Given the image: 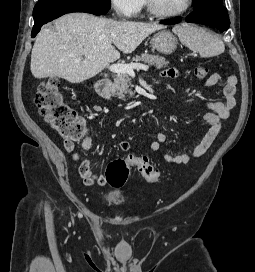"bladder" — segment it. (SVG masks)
<instances>
[{
  "instance_id": "31cf9c89",
  "label": "bladder",
  "mask_w": 255,
  "mask_h": 272,
  "mask_svg": "<svg viewBox=\"0 0 255 272\" xmlns=\"http://www.w3.org/2000/svg\"><path fill=\"white\" fill-rule=\"evenodd\" d=\"M124 193L122 191H107L103 199L108 203H119L123 200Z\"/></svg>"
}]
</instances>
